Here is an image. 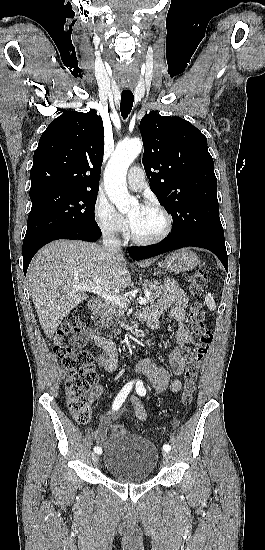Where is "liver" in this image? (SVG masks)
Here are the masks:
<instances>
[{
	"label": "liver",
	"mask_w": 265,
	"mask_h": 550,
	"mask_svg": "<svg viewBox=\"0 0 265 550\" xmlns=\"http://www.w3.org/2000/svg\"><path fill=\"white\" fill-rule=\"evenodd\" d=\"M153 260L140 262L148 267ZM27 279L44 333L53 338L72 309L87 299L77 284H98L112 291L130 285L131 277L121 254L110 257L104 247L78 240H57L43 247L29 265Z\"/></svg>",
	"instance_id": "liver-1"
}]
</instances>
